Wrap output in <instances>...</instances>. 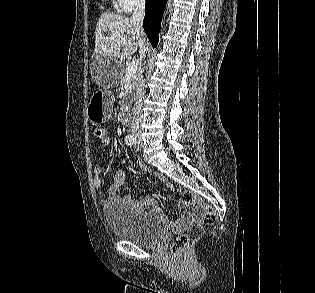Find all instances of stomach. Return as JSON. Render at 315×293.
I'll use <instances>...</instances> for the list:
<instances>
[{
	"label": "stomach",
	"mask_w": 315,
	"mask_h": 293,
	"mask_svg": "<svg viewBox=\"0 0 315 293\" xmlns=\"http://www.w3.org/2000/svg\"><path fill=\"white\" fill-rule=\"evenodd\" d=\"M114 97L111 93L96 92L88 106V117L93 123L106 122L112 112Z\"/></svg>",
	"instance_id": "obj_1"
}]
</instances>
